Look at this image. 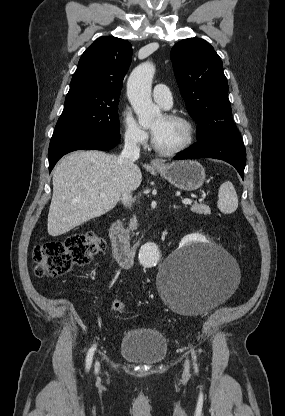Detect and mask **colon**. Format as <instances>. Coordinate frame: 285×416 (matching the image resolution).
<instances>
[{"instance_id": "obj_1", "label": "colon", "mask_w": 285, "mask_h": 416, "mask_svg": "<svg viewBox=\"0 0 285 416\" xmlns=\"http://www.w3.org/2000/svg\"><path fill=\"white\" fill-rule=\"evenodd\" d=\"M104 246V241L92 232L71 235L63 241L38 244L33 249L35 273L39 277L65 275L73 267L89 264ZM111 310L122 315L125 310L122 300L115 298Z\"/></svg>"}]
</instances>
